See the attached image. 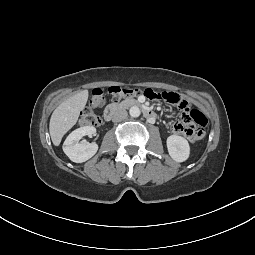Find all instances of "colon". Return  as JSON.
I'll return each instance as SVG.
<instances>
[{"mask_svg": "<svg viewBox=\"0 0 255 255\" xmlns=\"http://www.w3.org/2000/svg\"><path fill=\"white\" fill-rule=\"evenodd\" d=\"M109 94L114 99H119L124 96H132L140 93L138 88L112 86L108 89ZM144 95L149 99H163L171 104H178L180 97L175 96L171 92H156L152 89H145ZM182 98V105L190 101ZM104 101V94L101 89H95L92 92L90 105L85 109L80 116V126H98L101 123L100 117L95 113V109L100 107ZM185 117L184 124L180 127L179 133L183 134L190 142H198L204 137V127L208 124V119L204 113L199 110L190 109V106L183 110Z\"/></svg>", "mask_w": 255, "mask_h": 255, "instance_id": "1", "label": "colon"}]
</instances>
